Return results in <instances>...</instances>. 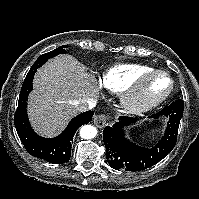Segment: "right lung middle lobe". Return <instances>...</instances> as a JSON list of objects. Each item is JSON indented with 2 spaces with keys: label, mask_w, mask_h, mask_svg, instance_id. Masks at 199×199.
I'll use <instances>...</instances> for the list:
<instances>
[{
  "label": "right lung middle lobe",
  "mask_w": 199,
  "mask_h": 199,
  "mask_svg": "<svg viewBox=\"0 0 199 199\" xmlns=\"http://www.w3.org/2000/svg\"><path fill=\"white\" fill-rule=\"evenodd\" d=\"M65 47H67V46H66V45L60 46V47H58L57 49H55V50H53V51H51V52H48V53H45V54L41 55V56L36 60V62L47 61L48 59L53 58V57H55L56 55L65 53V50H64Z\"/></svg>",
  "instance_id": "right-lung-middle-lobe-1"
}]
</instances>
